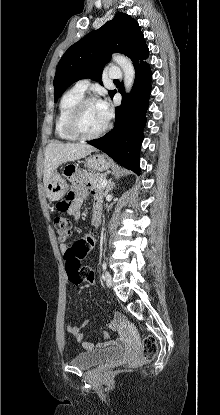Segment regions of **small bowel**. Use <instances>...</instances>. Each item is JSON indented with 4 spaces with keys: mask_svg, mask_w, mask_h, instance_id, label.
<instances>
[{
    "mask_svg": "<svg viewBox=\"0 0 220 415\" xmlns=\"http://www.w3.org/2000/svg\"><path fill=\"white\" fill-rule=\"evenodd\" d=\"M88 194L87 188H85L82 185H77L75 190L71 191L67 195V203L68 206L61 211L68 212L74 219H77L79 217V210L83 205V202ZM93 214L94 217H96L97 213L102 212V200H101V193L98 190H93ZM83 240L87 243L89 248H93L96 244V235L94 231H91L88 233ZM60 250L61 253L64 254L67 250V247L65 243H60ZM94 281H95V274L93 273ZM89 321L86 322L88 324ZM67 331L72 334L75 339L82 344V347L86 350H93V349H100L105 347H110L113 345L118 344L117 341L109 340L108 334L104 333L102 335L101 341L94 344L92 342H89L85 340L84 334L81 331V326L76 325H68L66 327Z\"/></svg>",
    "mask_w": 220,
    "mask_h": 415,
    "instance_id": "small-bowel-1",
    "label": "small bowel"
}]
</instances>
